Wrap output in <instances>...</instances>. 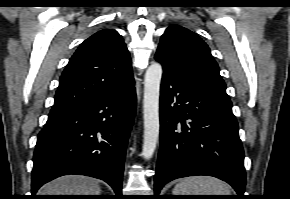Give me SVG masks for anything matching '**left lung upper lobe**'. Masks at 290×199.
Here are the masks:
<instances>
[{"label": "left lung upper lobe", "instance_id": "obj_1", "mask_svg": "<svg viewBox=\"0 0 290 199\" xmlns=\"http://www.w3.org/2000/svg\"><path fill=\"white\" fill-rule=\"evenodd\" d=\"M155 58L166 70L178 76L226 93V84L209 47L184 27L171 25L166 29Z\"/></svg>", "mask_w": 290, "mask_h": 199}]
</instances>
